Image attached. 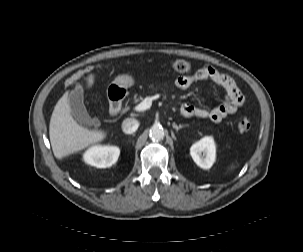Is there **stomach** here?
I'll use <instances>...</instances> for the list:
<instances>
[{
	"instance_id": "stomach-1",
	"label": "stomach",
	"mask_w": 303,
	"mask_h": 252,
	"mask_svg": "<svg viewBox=\"0 0 303 252\" xmlns=\"http://www.w3.org/2000/svg\"><path fill=\"white\" fill-rule=\"evenodd\" d=\"M113 85L120 89H127L134 85V79L129 75H119L113 82Z\"/></svg>"
}]
</instances>
